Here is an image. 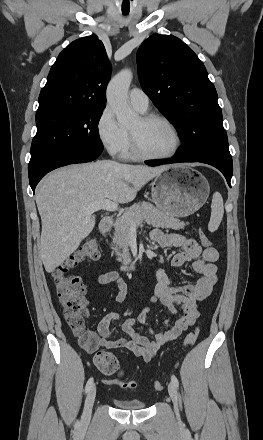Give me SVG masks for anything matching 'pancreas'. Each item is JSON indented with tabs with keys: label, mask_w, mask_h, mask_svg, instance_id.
<instances>
[{
	"label": "pancreas",
	"mask_w": 263,
	"mask_h": 440,
	"mask_svg": "<svg viewBox=\"0 0 263 440\" xmlns=\"http://www.w3.org/2000/svg\"><path fill=\"white\" fill-rule=\"evenodd\" d=\"M145 220L149 225L173 230L184 229L188 223L171 217L161 210L155 208L151 203H136L128 208L125 213L116 219L114 223L113 253L117 255L119 262L128 263L131 261L129 254V238L132 224L136 226ZM122 249V253L119 250Z\"/></svg>",
	"instance_id": "1"
}]
</instances>
